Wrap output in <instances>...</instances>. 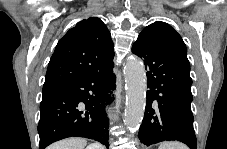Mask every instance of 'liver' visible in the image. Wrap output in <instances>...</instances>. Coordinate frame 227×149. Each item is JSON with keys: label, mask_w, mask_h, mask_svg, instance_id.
<instances>
[{"label": "liver", "mask_w": 227, "mask_h": 149, "mask_svg": "<svg viewBox=\"0 0 227 149\" xmlns=\"http://www.w3.org/2000/svg\"><path fill=\"white\" fill-rule=\"evenodd\" d=\"M87 145V141L82 138H68L58 141L48 147V149H84ZM99 149H104L102 145H99Z\"/></svg>", "instance_id": "liver-1"}]
</instances>
